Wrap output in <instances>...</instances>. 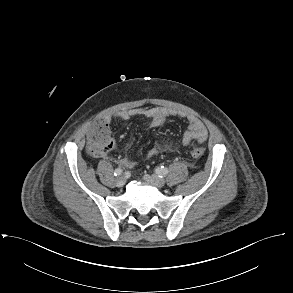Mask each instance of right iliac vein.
<instances>
[{
  "instance_id": "63e3f726",
  "label": "right iliac vein",
  "mask_w": 293,
  "mask_h": 293,
  "mask_svg": "<svg viewBox=\"0 0 293 293\" xmlns=\"http://www.w3.org/2000/svg\"><path fill=\"white\" fill-rule=\"evenodd\" d=\"M125 183H126V178L125 177L119 176V177L116 178V185L118 187H123L125 185Z\"/></svg>"
}]
</instances>
